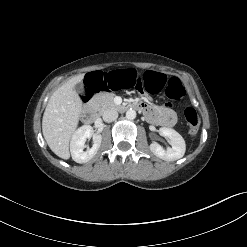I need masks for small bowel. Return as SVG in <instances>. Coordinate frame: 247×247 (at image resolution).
Wrapping results in <instances>:
<instances>
[{
    "label": "small bowel",
    "mask_w": 247,
    "mask_h": 247,
    "mask_svg": "<svg viewBox=\"0 0 247 247\" xmlns=\"http://www.w3.org/2000/svg\"><path fill=\"white\" fill-rule=\"evenodd\" d=\"M143 112L147 118L158 126L172 127L177 121L176 113L168 106H154L148 102H141Z\"/></svg>",
    "instance_id": "small-bowel-1"
}]
</instances>
